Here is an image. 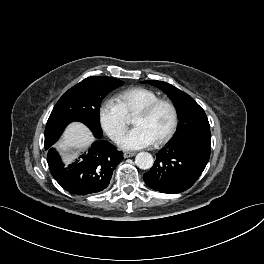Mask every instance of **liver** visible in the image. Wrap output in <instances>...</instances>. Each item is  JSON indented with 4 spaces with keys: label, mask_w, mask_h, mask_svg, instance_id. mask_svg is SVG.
Returning <instances> with one entry per match:
<instances>
[{
    "label": "liver",
    "mask_w": 264,
    "mask_h": 264,
    "mask_svg": "<svg viewBox=\"0 0 264 264\" xmlns=\"http://www.w3.org/2000/svg\"><path fill=\"white\" fill-rule=\"evenodd\" d=\"M94 141L92 132L84 124L73 122L66 128L62 138L54 147L69 156L73 150L88 148ZM67 160L70 162L72 157Z\"/></svg>",
    "instance_id": "obj_1"
}]
</instances>
